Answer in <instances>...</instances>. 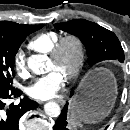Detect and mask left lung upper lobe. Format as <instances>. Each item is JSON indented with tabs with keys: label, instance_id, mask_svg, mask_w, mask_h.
<instances>
[{
	"label": "left lung upper lobe",
	"instance_id": "5c2ea615",
	"mask_svg": "<svg viewBox=\"0 0 130 130\" xmlns=\"http://www.w3.org/2000/svg\"><path fill=\"white\" fill-rule=\"evenodd\" d=\"M54 27L77 36L84 46L89 65L105 60L124 61V52L116 35L94 22L87 20H71L56 23Z\"/></svg>",
	"mask_w": 130,
	"mask_h": 130
}]
</instances>
